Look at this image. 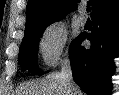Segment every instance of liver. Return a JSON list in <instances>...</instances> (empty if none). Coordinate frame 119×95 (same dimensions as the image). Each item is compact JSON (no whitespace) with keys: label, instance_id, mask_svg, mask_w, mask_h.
Here are the masks:
<instances>
[{"label":"liver","instance_id":"1","mask_svg":"<svg viewBox=\"0 0 119 95\" xmlns=\"http://www.w3.org/2000/svg\"><path fill=\"white\" fill-rule=\"evenodd\" d=\"M18 93V95H69L67 86L59 77L58 72L24 84L20 87ZM80 93V95H83L81 91Z\"/></svg>","mask_w":119,"mask_h":95}]
</instances>
